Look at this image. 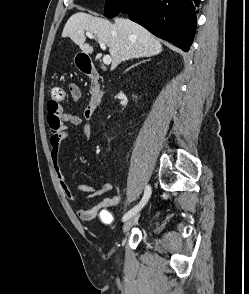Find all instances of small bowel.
<instances>
[{"instance_id": "obj_1", "label": "small bowel", "mask_w": 249, "mask_h": 294, "mask_svg": "<svg viewBox=\"0 0 249 294\" xmlns=\"http://www.w3.org/2000/svg\"><path fill=\"white\" fill-rule=\"evenodd\" d=\"M69 96L71 102H77L81 97V90L75 83L68 84ZM47 122L51 129V136L49 138L50 157L52 166L59 183V186L65 196L71 201H77L78 197L74 193L68 179L64 175L61 166L62 158V143L70 136L69 126H81L83 136L89 139L92 135V126L88 122L78 116L69 115L64 112L63 107L58 104L54 106L48 102ZM86 118L87 115L84 112ZM76 189L86 194L85 200H91L102 196L112 189V184L105 182L99 186H92L84 182H79ZM122 203V196L119 194L105 197L96 204L88 208L76 209V214L81 221H92L98 219L103 226H110L113 223L114 217L109 211L110 208L117 207Z\"/></svg>"}]
</instances>
